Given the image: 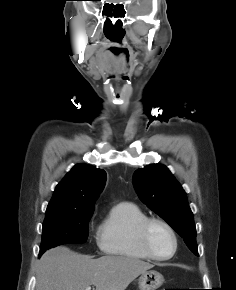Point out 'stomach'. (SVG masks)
Returning <instances> with one entry per match:
<instances>
[{"label": "stomach", "instance_id": "1", "mask_svg": "<svg viewBox=\"0 0 236 290\" xmlns=\"http://www.w3.org/2000/svg\"><path fill=\"white\" fill-rule=\"evenodd\" d=\"M163 282V275L155 270H149L142 273L138 279L140 290H156Z\"/></svg>", "mask_w": 236, "mask_h": 290}]
</instances>
